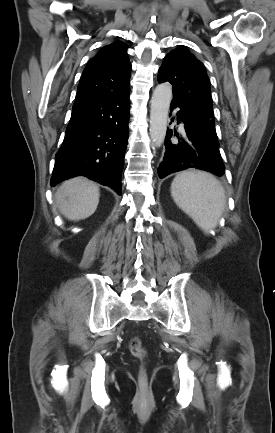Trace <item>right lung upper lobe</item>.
Returning a JSON list of instances; mask_svg holds the SVG:
<instances>
[{"label":"right lung upper lobe","instance_id":"1","mask_svg":"<svg viewBox=\"0 0 275 433\" xmlns=\"http://www.w3.org/2000/svg\"><path fill=\"white\" fill-rule=\"evenodd\" d=\"M127 47L114 42L103 47L92 58L81 77L73 107L101 96L123 94L129 91L131 64Z\"/></svg>","mask_w":275,"mask_h":433}]
</instances>
